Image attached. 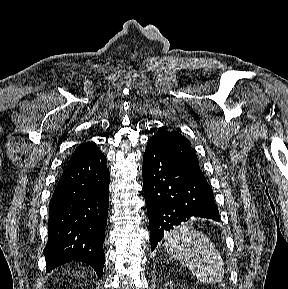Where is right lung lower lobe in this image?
<instances>
[{"label":"right lung lower lobe","mask_w":288,"mask_h":289,"mask_svg":"<svg viewBox=\"0 0 288 289\" xmlns=\"http://www.w3.org/2000/svg\"><path fill=\"white\" fill-rule=\"evenodd\" d=\"M109 207V170L97 152L69 161L50 200L47 272L70 261L91 265L99 277Z\"/></svg>","instance_id":"98d812e1"}]
</instances>
